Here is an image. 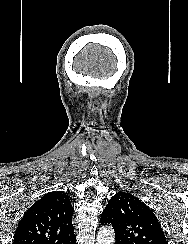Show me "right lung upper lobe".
<instances>
[{"mask_svg": "<svg viewBox=\"0 0 188 244\" xmlns=\"http://www.w3.org/2000/svg\"><path fill=\"white\" fill-rule=\"evenodd\" d=\"M73 207L62 191L45 194L24 214L13 244H69L75 239Z\"/></svg>", "mask_w": 188, "mask_h": 244, "instance_id": "obj_1", "label": "right lung upper lobe"}]
</instances>
